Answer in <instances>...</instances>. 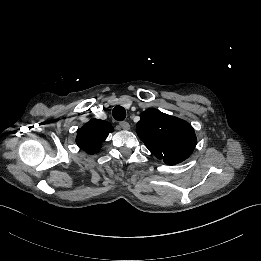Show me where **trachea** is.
<instances>
[{"label":"trachea","mask_w":261,"mask_h":261,"mask_svg":"<svg viewBox=\"0 0 261 261\" xmlns=\"http://www.w3.org/2000/svg\"><path fill=\"white\" fill-rule=\"evenodd\" d=\"M112 115L117 121H123L126 117V110L124 107L117 105L113 108Z\"/></svg>","instance_id":"1"}]
</instances>
